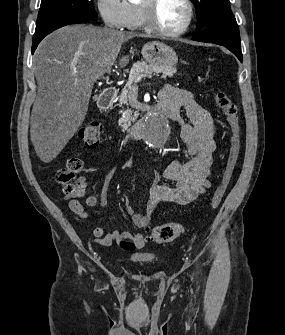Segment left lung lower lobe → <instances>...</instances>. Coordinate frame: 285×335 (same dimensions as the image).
<instances>
[{
    "instance_id": "left-lung-lower-lobe-1",
    "label": "left lung lower lobe",
    "mask_w": 285,
    "mask_h": 335,
    "mask_svg": "<svg viewBox=\"0 0 285 335\" xmlns=\"http://www.w3.org/2000/svg\"><path fill=\"white\" fill-rule=\"evenodd\" d=\"M193 40L225 46L242 62L240 35L236 20L216 22L206 26L205 30L195 36Z\"/></svg>"
}]
</instances>
